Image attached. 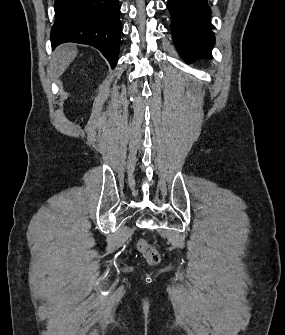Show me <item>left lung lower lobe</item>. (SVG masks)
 <instances>
[{
	"mask_svg": "<svg viewBox=\"0 0 285 335\" xmlns=\"http://www.w3.org/2000/svg\"><path fill=\"white\" fill-rule=\"evenodd\" d=\"M167 7L171 13L173 39L186 63L211 58L215 37L207 0H169Z\"/></svg>",
	"mask_w": 285,
	"mask_h": 335,
	"instance_id": "0a47b994",
	"label": "left lung lower lobe"
}]
</instances>
